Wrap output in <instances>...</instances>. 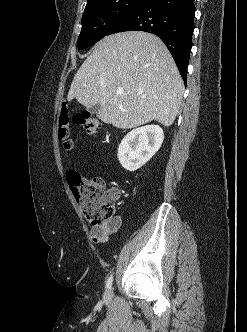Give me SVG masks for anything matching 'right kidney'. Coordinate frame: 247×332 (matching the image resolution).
Wrapping results in <instances>:
<instances>
[{
    "label": "right kidney",
    "instance_id": "right-kidney-1",
    "mask_svg": "<svg viewBox=\"0 0 247 332\" xmlns=\"http://www.w3.org/2000/svg\"><path fill=\"white\" fill-rule=\"evenodd\" d=\"M164 132L158 125H146L131 130L121 141L118 160L128 171H136L159 150Z\"/></svg>",
    "mask_w": 247,
    "mask_h": 332
}]
</instances>
